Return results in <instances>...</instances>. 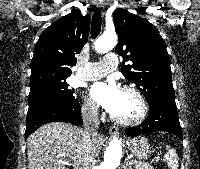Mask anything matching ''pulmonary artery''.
<instances>
[{"instance_id":"obj_1","label":"pulmonary artery","mask_w":200,"mask_h":169,"mask_svg":"<svg viewBox=\"0 0 200 169\" xmlns=\"http://www.w3.org/2000/svg\"><path fill=\"white\" fill-rule=\"evenodd\" d=\"M117 64V56L111 53L104 56L100 61L87 63L85 69L80 71L77 77L87 81L96 80L116 69Z\"/></svg>"}]
</instances>
